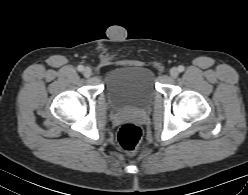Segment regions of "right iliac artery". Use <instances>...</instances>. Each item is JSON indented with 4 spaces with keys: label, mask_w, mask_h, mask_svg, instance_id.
Here are the masks:
<instances>
[{
    "label": "right iliac artery",
    "mask_w": 248,
    "mask_h": 195,
    "mask_svg": "<svg viewBox=\"0 0 248 195\" xmlns=\"http://www.w3.org/2000/svg\"><path fill=\"white\" fill-rule=\"evenodd\" d=\"M77 69H78V71H83L84 70V67L82 66V65H79L78 67H77Z\"/></svg>",
    "instance_id": "right-iliac-artery-1"
}]
</instances>
